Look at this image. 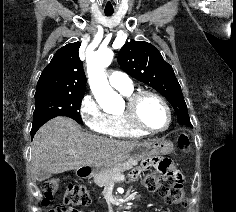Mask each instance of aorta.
<instances>
[{
	"label": "aorta",
	"instance_id": "aorta-1",
	"mask_svg": "<svg viewBox=\"0 0 236 212\" xmlns=\"http://www.w3.org/2000/svg\"><path fill=\"white\" fill-rule=\"evenodd\" d=\"M113 56V52L109 49L86 55L91 91L99 105L105 110L116 108L122 103L121 96L111 88L105 73V68L111 64Z\"/></svg>",
	"mask_w": 236,
	"mask_h": 212
}]
</instances>
